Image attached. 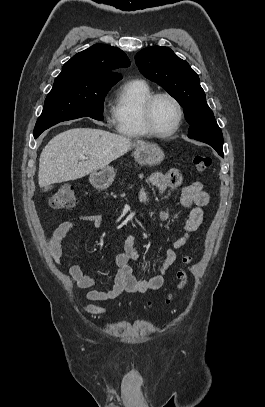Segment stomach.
<instances>
[{
	"label": "stomach",
	"instance_id": "1",
	"mask_svg": "<svg viewBox=\"0 0 265 407\" xmlns=\"http://www.w3.org/2000/svg\"><path fill=\"white\" fill-rule=\"evenodd\" d=\"M162 149L152 143L137 145L134 151V158L140 165L155 166L164 160ZM115 170L111 166H106L90 174V183L97 189L109 187L115 178Z\"/></svg>",
	"mask_w": 265,
	"mask_h": 407
}]
</instances>
